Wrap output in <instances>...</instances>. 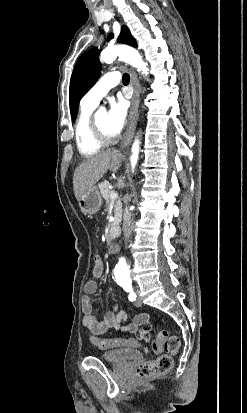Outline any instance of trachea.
Segmentation results:
<instances>
[{"label":"trachea","mask_w":247,"mask_h":413,"mask_svg":"<svg viewBox=\"0 0 247 413\" xmlns=\"http://www.w3.org/2000/svg\"><path fill=\"white\" fill-rule=\"evenodd\" d=\"M130 81V76L127 73H124L123 78H122V82L124 85H128Z\"/></svg>","instance_id":"obj_1"}]
</instances>
